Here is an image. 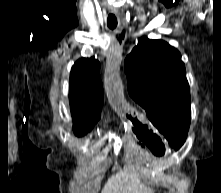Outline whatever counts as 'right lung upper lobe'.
<instances>
[{"label": "right lung upper lobe", "mask_w": 221, "mask_h": 193, "mask_svg": "<svg viewBox=\"0 0 221 193\" xmlns=\"http://www.w3.org/2000/svg\"><path fill=\"white\" fill-rule=\"evenodd\" d=\"M100 63L94 58H81L71 69L69 100L73 131L94 125L100 118L103 86Z\"/></svg>", "instance_id": "right-lung-upper-lobe-1"}]
</instances>
